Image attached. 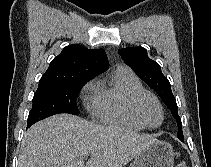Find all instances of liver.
I'll list each match as a JSON object with an SVG mask.
<instances>
[{
  "label": "liver",
  "mask_w": 211,
  "mask_h": 167,
  "mask_svg": "<svg viewBox=\"0 0 211 167\" xmlns=\"http://www.w3.org/2000/svg\"><path fill=\"white\" fill-rule=\"evenodd\" d=\"M155 142L152 135L59 114L25 132L19 167H123Z\"/></svg>",
  "instance_id": "liver-1"
}]
</instances>
